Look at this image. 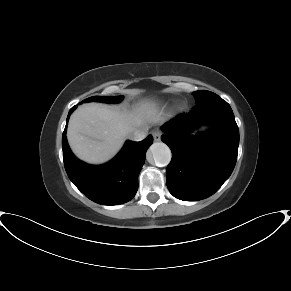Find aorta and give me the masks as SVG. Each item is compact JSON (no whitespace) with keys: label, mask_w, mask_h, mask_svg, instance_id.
<instances>
[{"label":"aorta","mask_w":291,"mask_h":291,"mask_svg":"<svg viewBox=\"0 0 291 291\" xmlns=\"http://www.w3.org/2000/svg\"><path fill=\"white\" fill-rule=\"evenodd\" d=\"M153 161L156 166H167L171 161V151L169 147L163 142H155L149 149Z\"/></svg>","instance_id":"762f6f07"}]
</instances>
